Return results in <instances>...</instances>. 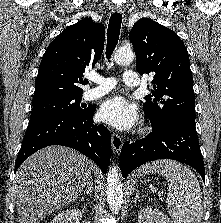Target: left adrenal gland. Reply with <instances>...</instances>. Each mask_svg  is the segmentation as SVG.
Wrapping results in <instances>:
<instances>
[{
  "mask_svg": "<svg viewBox=\"0 0 221 223\" xmlns=\"http://www.w3.org/2000/svg\"><path fill=\"white\" fill-rule=\"evenodd\" d=\"M140 198V196H139V193L138 192H136V195H135V198H134V202H136L138 199Z\"/></svg>",
  "mask_w": 221,
  "mask_h": 223,
  "instance_id": "obj_1",
  "label": "left adrenal gland"
}]
</instances>
